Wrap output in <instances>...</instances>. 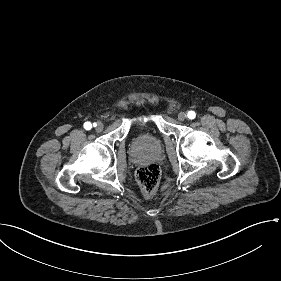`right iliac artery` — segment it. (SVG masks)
<instances>
[{
	"label": "right iliac artery",
	"mask_w": 281,
	"mask_h": 281,
	"mask_svg": "<svg viewBox=\"0 0 281 281\" xmlns=\"http://www.w3.org/2000/svg\"><path fill=\"white\" fill-rule=\"evenodd\" d=\"M95 125V124H94ZM84 128L86 129V130H90L91 128H92V124L90 123V122H86L85 124H84Z\"/></svg>",
	"instance_id": "obj_1"
}]
</instances>
